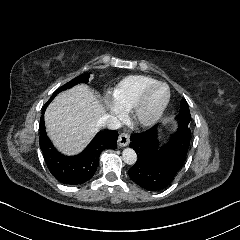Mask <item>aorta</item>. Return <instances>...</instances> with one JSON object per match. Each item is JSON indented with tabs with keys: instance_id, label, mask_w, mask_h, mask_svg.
<instances>
[{
	"instance_id": "1",
	"label": "aorta",
	"mask_w": 240,
	"mask_h": 240,
	"mask_svg": "<svg viewBox=\"0 0 240 240\" xmlns=\"http://www.w3.org/2000/svg\"><path fill=\"white\" fill-rule=\"evenodd\" d=\"M123 161L128 165H133L137 161V154L132 148H126L122 152Z\"/></svg>"
}]
</instances>
